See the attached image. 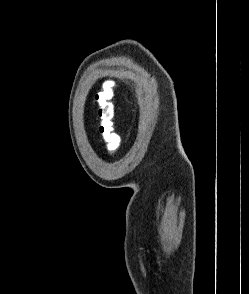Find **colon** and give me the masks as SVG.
<instances>
[{"label": "colon", "mask_w": 249, "mask_h": 294, "mask_svg": "<svg viewBox=\"0 0 249 294\" xmlns=\"http://www.w3.org/2000/svg\"><path fill=\"white\" fill-rule=\"evenodd\" d=\"M112 98L113 87L107 83L102 85L100 91L95 96L100 119V133L107 141L109 149L114 150L118 145L119 137L114 132L115 107Z\"/></svg>", "instance_id": "colon-1"}]
</instances>
